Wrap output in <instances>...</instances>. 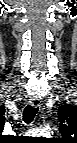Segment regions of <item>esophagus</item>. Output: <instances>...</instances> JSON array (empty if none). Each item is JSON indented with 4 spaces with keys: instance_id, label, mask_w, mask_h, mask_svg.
Listing matches in <instances>:
<instances>
[{
    "instance_id": "34e87169",
    "label": "esophagus",
    "mask_w": 77,
    "mask_h": 143,
    "mask_svg": "<svg viewBox=\"0 0 77 143\" xmlns=\"http://www.w3.org/2000/svg\"><path fill=\"white\" fill-rule=\"evenodd\" d=\"M31 106L33 107H40L41 106V101L38 99H33L30 101Z\"/></svg>"
}]
</instances>
